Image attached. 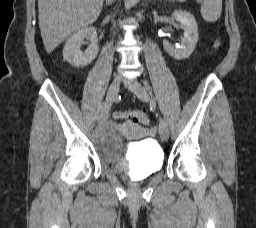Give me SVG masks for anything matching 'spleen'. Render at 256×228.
Listing matches in <instances>:
<instances>
[{
  "instance_id": "1",
  "label": "spleen",
  "mask_w": 256,
  "mask_h": 228,
  "mask_svg": "<svg viewBox=\"0 0 256 228\" xmlns=\"http://www.w3.org/2000/svg\"><path fill=\"white\" fill-rule=\"evenodd\" d=\"M201 0H197L200 2ZM222 12V0H203L201 15L206 22L212 23L218 20Z\"/></svg>"
}]
</instances>
